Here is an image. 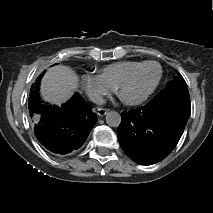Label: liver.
I'll use <instances>...</instances> for the list:
<instances>
[{"label":"liver","instance_id":"6515ba94","mask_svg":"<svg viewBox=\"0 0 213 213\" xmlns=\"http://www.w3.org/2000/svg\"><path fill=\"white\" fill-rule=\"evenodd\" d=\"M79 77L72 68L58 65L50 68L41 80L40 94L46 102L61 105L78 88Z\"/></svg>","mask_w":213,"mask_h":213}]
</instances>
